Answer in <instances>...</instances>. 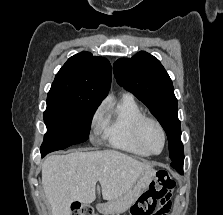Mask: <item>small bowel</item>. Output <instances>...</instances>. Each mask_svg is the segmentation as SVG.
Listing matches in <instances>:
<instances>
[{
	"label": "small bowel",
	"instance_id": "c3829d8e",
	"mask_svg": "<svg viewBox=\"0 0 223 215\" xmlns=\"http://www.w3.org/2000/svg\"><path fill=\"white\" fill-rule=\"evenodd\" d=\"M166 205V210L164 214H157V215H166L170 209V201H169V197L166 198L163 202Z\"/></svg>",
	"mask_w": 223,
	"mask_h": 215
}]
</instances>
